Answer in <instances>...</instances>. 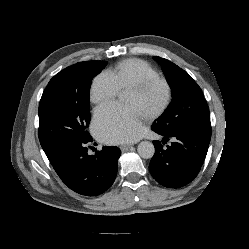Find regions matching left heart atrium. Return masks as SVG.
<instances>
[{
    "label": "left heart atrium",
    "mask_w": 249,
    "mask_h": 249,
    "mask_svg": "<svg viewBox=\"0 0 249 249\" xmlns=\"http://www.w3.org/2000/svg\"><path fill=\"white\" fill-rule=\"evenodd\" d=\"M142 118L131 107L107 104L95 110L93 130L107 144L131 142L142 135Z\"/></svg>",
    "instance_id": "39dd6f15"
}]
</instances>
